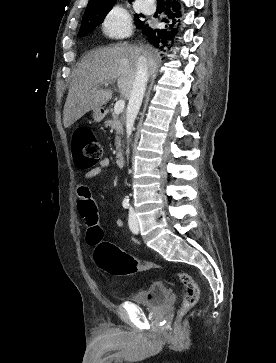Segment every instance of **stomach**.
<instances>
[{"label": "stomach", "instance_id": "stomach-1", "mask_svg": "<svg viewBox=\"0 0 276 363\" xmlns=\"http://www.w3.org/2000/svg\"><path fill=\"white\" fill-rule=\"evenodd\" d=\"M106 113L103 110V108H98L93 110V118L95 122H101L103 118L105 117Z\"/></svg>", "mask_w": 276, "mask_h": 363}]
</instances>
